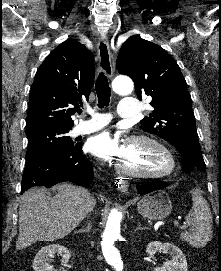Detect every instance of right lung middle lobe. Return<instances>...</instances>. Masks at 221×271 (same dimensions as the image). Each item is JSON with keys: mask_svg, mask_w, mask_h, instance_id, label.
<instances>
[{"mask_svg": "<svg viewBox=\"0 0 221 271\" xmlns=\"http://www.w3.org/2000/svg\"><path fill=\"white\" fill-rule=\"evenodd\" d=\"M73 126L47 125L26 131L28 150L26 160L47 152L72 150L78 144L66 134Z\"/></svg>", "mask_w": 221, "mask_h": 271, "instance_id": "obj_1", "label": "right lung middle lobe"}]
</instances>
